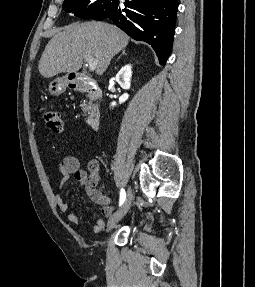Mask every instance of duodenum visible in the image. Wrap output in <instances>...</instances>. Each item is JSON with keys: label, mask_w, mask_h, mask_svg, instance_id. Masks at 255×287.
<instances>
[{"label": "duodenum", "mask_w": 255, "mask_h": 287, "mask_svg": "<svg viewBox=\"0 0 255 287\" xmlns=\"http://www.w3.org/2000/svg\"><path fill=\"white\" fill-rule=\"evenodd\" d=\"M68 86L80 92L87 93L93 100H96L101 95V90L97 83L89 78H74L68 82ZM100 112L97 108H93L87 118L89 127L93 130H97L100 125Z\"/></svg>", "instance_id": "1"}]
</instances>
